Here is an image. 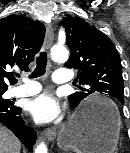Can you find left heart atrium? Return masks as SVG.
<instances>
[{
  "mask_svg": "<svg viewBox=\"0 0 130 153\" xmlns=\"http://www.w3.org/2000/svg\"><path fill=\"white\" fill-rule=\"evenodd\" d=\"M27 111L37 122L46 123L56 119L61 108L53 95L42 93L28 102Z\"/></svg>",
  "mask_w": 130,
  "mask_h": 153,
  "instance_id": "obj_1",
  "label": "left heart atrium"
}]
</instances>
